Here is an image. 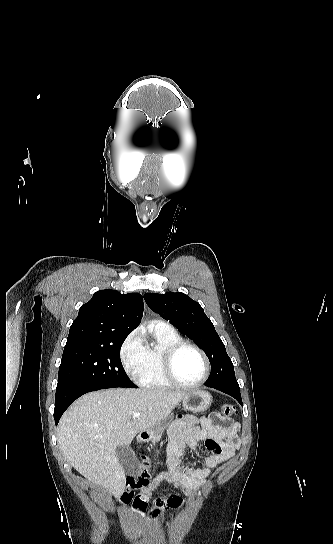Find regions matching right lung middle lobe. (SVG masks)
Here are the masks:
<instances>
[{
    "label": "right lung middle lobe",
    "instance_id": "1",
    "mask_svg": "<svg viewBox=\"0 0 333 544\" xmlns=\"http://www.w3.org/2000/svg\"><path fill=\"white\" fill-rule=\"evenodd\" d=\"M126 337L103 345L64 349L57 386L137 388L120 360V349Z\"/></svg>",
    "mask_w": 333,
    "mask_h": 544
}]
</instances>
